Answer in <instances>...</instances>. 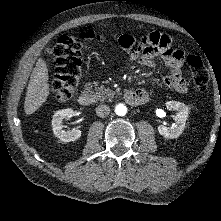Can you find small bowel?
<instances>
[{"label":"small bowel","instance_id":"1","mask_svg":"<svg viewBox=\"0 0 221 221\" xmlns=\"http://www.w3.org/2000/svg\"><path fill=\"white\" fill-rule=\"evenodd\" d=\"M120 47L126 51L131 60L144 66L153 67L155 59L160 57L165 65L170 69V75L161 79V83L179 93L187 91L186 80L182 77L181 66L185 54L183 51L174 49L172 39L167 34L151 32L144 35L139 42V47L135 48L136 40L131 35H122L119 38ZM143 97L148 99V93L144 89L137 90Z\"/></svg>","mask_w":221,"mask_h":221}]
</instances>
